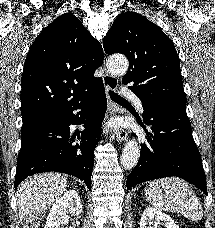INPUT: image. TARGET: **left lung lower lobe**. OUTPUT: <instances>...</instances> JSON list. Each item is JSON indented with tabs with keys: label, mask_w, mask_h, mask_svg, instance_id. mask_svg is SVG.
<instances>
[{
	"label": "left lung lower lobe",
	"mask_w": 215,
	"mask_h": 228,
	"mask_svg": "<svg viewBox=\"0 0 215 228\" xmlns=\"http://www.w3.org/2000/svg\"><path fill=\"white\" fill-rule=\"evenodd\" d=\"M146 132L137 166L127 177L126 186L158 178L177 176L207 194L206 177L194 143L191 123L182 103H142ZM136 136V135H135Z\"/></svg>",
	"instance_id": "left-lung-lower-lobe-1"
}]
</instances>
